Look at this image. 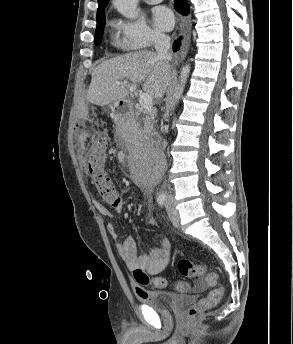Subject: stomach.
Here are the masks:
<instances>
[{"instance_id": "0dacf381", "label": "stomach", "mask_w": 293, "mask_h": 344, "mask_svg": "<svg viewBox=\"0 0 293 344\" xmlns=\"http://www.w3.org/2000/svg\"><path fill=\"white\" fill-rule=\"evenodd\" d=\"M119 105H120V101H116V102L112 103V104L110 105L111 111H112V112H115V109L118 108Z\"/></svg>"}]
</instances>
